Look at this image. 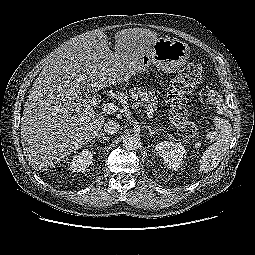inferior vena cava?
<instances>
[{"instance_id": "602c4592", "label": "inferior vena cava", "mask_w": 255, "mask_h": 255, "mask_svg": "<svg viewBox=\"0 0 255 255\" xmlns=\"http://www.w3.org/2000/svg\"><path fill=\"white\" fill-rule=\"evenodd\" d=\"M120 128L119 123L115 121H109L104 124V131L108 134H116Z\"/></svg>"}]
</instances>
